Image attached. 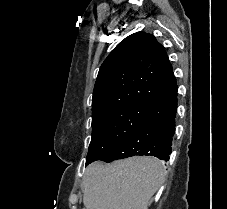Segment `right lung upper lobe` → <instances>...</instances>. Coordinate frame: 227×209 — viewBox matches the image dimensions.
Wrapping results in <instances>:
<instances>
[{
	"label": "right lung upper lobe",
	"mask_w": 227,
	"mask_h": 209,
	"mask_svg": "<svg viewBox=\"0 0 227 209\" xmlns=\"http://www.w3.org/2000/svg\"><path fill=\"white\" fill-rule=\"evenodd\" d=\"M171 63L156 38L137 32L121 41L100 67L92 99V117L103 102L128 98L150 105L171 93L176 84L167 76Z\"/></svg>",
	"instance_id": "obj_1"
}]
</instances>
